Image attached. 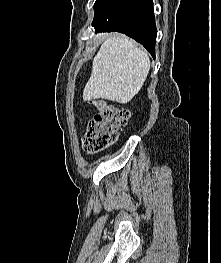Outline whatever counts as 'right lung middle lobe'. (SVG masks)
Returning <instances> with one entry per match:
<instances>
[{
    "instance_id": "1",
    "label": "right lung middle lobe",
    "mask_w": 221,
    "mask_h": 263,
    "mask_svg": "<svg viewBox=\"0 0 221 263\" xmlns=\"http://www.w3.org/2000/svg\"><path fill=\"white\" fill-rule=\"evenodd\" d=\"M112 0H96L94 4L95 16L98 15Z\"/></svg>"
}]
</instances>
